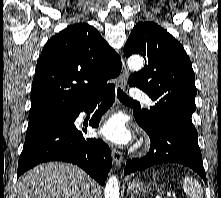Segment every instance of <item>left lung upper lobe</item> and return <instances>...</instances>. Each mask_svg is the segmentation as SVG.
Listing matches in <instances>:
<instances>
[{
    "label": "left lung upper lobe",
    "instance_id": "1",
    "mask_svg": "<svg viewBox=\"0 0 221 198\" xmlns=\"http://www.w3.org/2000/svg\"><path fill=\"white\" fill-rule=\"evenodd\" d=\"M124 54L144 57V68L130 75L129 85L141 88L156 102L150 110L134 114L150 124L197 132L191 119L196 110L195 76L183 46L159 25L140 22L131 31Z\"/></svg>",
    "mask_w": 221,
    "mask_h": 198
}]
</instances>
